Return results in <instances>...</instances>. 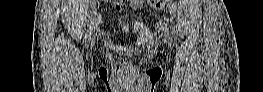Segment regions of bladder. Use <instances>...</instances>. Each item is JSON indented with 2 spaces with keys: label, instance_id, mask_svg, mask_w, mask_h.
<instances>
[{
  "label": "bladder",
  "instance_id": "1",
  "mask_svg": "<svg viewBox=\"0 0 263 92\" xmlns=\"http://www.w3.org/2000/svg\"><path fill=\"white\" fill-rule=\"evenodd\" d=\"M128 25V22L124 19H116L113 23H112V29L114 30H121L122 28H124L125 26Z\"/></svg>",
  "mask_w": 263,
  "mask_h": 92
}]
</instances>
